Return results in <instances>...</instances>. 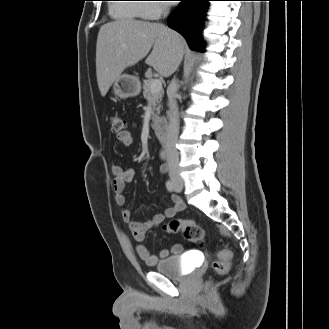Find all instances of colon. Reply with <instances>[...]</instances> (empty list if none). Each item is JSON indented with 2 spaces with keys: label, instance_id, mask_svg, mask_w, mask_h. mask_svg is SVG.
<instances>
[{
  "label": "colon",
  "instance_id": "1",
  "mask_svg": "<svg viewBox=\"0 0 329 329\" xmlns=\"http://www.w3.org/2000/svg\"><path fill=\"white\" fill-rule=\"evenodd\" d=\"M111 133L119 135L125 132L126 121L117 114L110 118ZM164 231L167 233L181 232L184 238L190 242L203 243L205 234L201 226L192 220L172 219L165 223L163 226ZM231 253L228 250L221 249L217 253V259L213 262V268L219 275H225L230 270Z\"/></svg>",
  "mask_w": 329,
  "mask_h": 329
}]
</instances>
